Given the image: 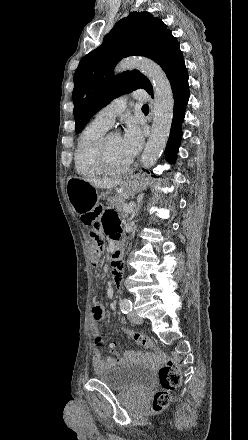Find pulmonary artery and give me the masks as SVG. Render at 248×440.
Listing matches in <instances>:
<instances>
[{
  "instance_id": "1",
  "label": "pulmonary artery",
  "mask_w": 248,
  "mask_h": 440,
  "mask_svg": "<svg viewBox=\"0 0 248 440\" xmlns=\"http://www.w3.org/2000/svg\"><path fill=\"white\" fill-rule=\"evenodd\" d=\"M131 97L133 99L143 101L146 99V92L140 89L135 90L131 93ZM127 100V95L114 99L99 112H97L94 121L105 126L106 128H110L114 123L115 118L126 108Z\"/></svg>"
}]
</instances>
